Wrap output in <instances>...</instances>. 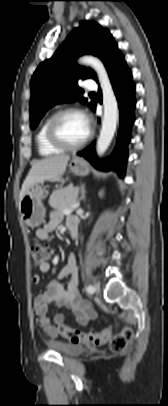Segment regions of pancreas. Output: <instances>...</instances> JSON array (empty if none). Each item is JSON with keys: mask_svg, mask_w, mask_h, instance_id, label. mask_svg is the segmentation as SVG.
Here are the masks:
<instances>
[{"mask_svg": "<svg viewBox=\"0 0 168 406\" xmlns=\"http://www.w3.org/2000/svg\"><path fill=\"white\" fill-rule=\"evenodd\" d=\"M76 202L77 192L70 186L54 191L49 198L50 206L59 211L70 208Z\"/></svg>", "mask_w": 168, "mask_h": 406, "instance_id": "cf45deb5", "label": "pancreas"}]
</instances>
